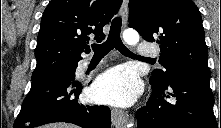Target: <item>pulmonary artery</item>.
<instances>
[{"label":"pulmonary artery","instance_id":"obj_1","mask_svg":"<svg viewBox=\"0 0 221 128\" xmlns=\"http://www.w3.org/2000/svg\"><path fill=\"white\" fill-rule=\"evenodd\" d=\"M157 55H158V52L152 45H145L141 43L138 47V53L136 54V58L140 60H148ZM87 64H88V60H84L83 66H86Z\"/></svg>","mask_w":221,"mask_h":128}]
</instances>
